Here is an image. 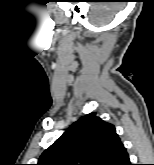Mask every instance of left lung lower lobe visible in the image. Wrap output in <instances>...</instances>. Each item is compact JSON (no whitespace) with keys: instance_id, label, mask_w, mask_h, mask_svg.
<instances>
[{"instance_id":"1","label":"left lung lower lobe","mask_w":154,"mask_h":165,"mask_svg":"<svg viewBox=\"0 0 154 165\" xmlns=\"http://www.w3.org/2000/svg\"><path fill=\"white\" fill-rule=\"evenodd\" d=\"M114 165H132L124 146L120 149Z\"/></svg>"}]
</instances>
